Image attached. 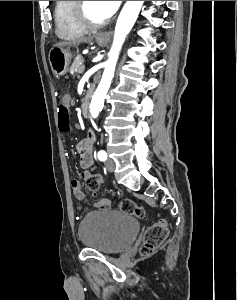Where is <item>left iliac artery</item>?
Instances as JSON below:
<instances>
[{"label": "left iliac artery", "mask_w": 237, "mask_h": 300, "mask_svg": "<svg viewBox=\"0 0 237 300\" xmlns=\"http://www.w3.org/2000/svg\"><path fill=\"white\" fill-rule=\"evenodd\" d=\"M97 156H98V159L100 161L107 160V153L105 151H103V150L99 151L98 154H97Z\"/></svg>", "instance_id": "obj_1"}]
</instances>
